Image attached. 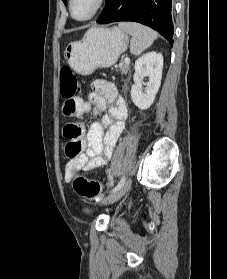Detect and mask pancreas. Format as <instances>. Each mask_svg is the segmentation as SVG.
<instances>
[{"label":"pancreas","mask_w":227,"mask_h":279,"mask_svg":"<svg viewBox=\"0 0 227 279\" xmlns=\"http://www.w3.org/2000/svg\"><path fill=\"white\" fill-rule=\"evenodd\" d=\"M116 71H120L122 75L130 74V65L121 62L116 66Z\"/></svg>","instance_id":"1"}]
</instances>
